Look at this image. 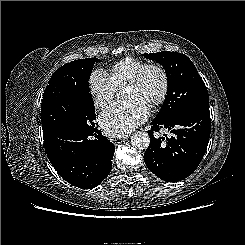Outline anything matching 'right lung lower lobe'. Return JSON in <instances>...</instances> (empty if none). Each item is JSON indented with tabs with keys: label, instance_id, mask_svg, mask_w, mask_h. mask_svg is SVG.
<instances>
[{
	"label": "right lung lower lobe",
	"instance_id": "1",
	"mask_svg": "<svg viewBox=\"0 0 245 245\" xmlns=\"http://www.w3.org/2000/svg\"><path fill=\"white\" fill-rule=\"evenodd\" d=\"M42 129L47 157L68 183L90 189L108 176L115 147L95 124L84 129L47 126Z\"/></svg>",
	"mask_w": 245,
	"mask_h": 245
}]
</instances>
